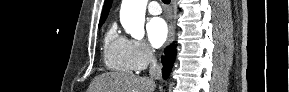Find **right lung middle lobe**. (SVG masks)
Returning a JSON list of instances; mask_svg holds the SVG:
<instances>
[{"instance_id": "obj_1", "label": "right lung middle lobe", "mask_w": 289, "mask_h": 92, "mask_svg": "<svg viewBox=\"0 0 289 92\" xmlns=\"http://www.w3.org/2000/svg\"><path fill=\"white\" fill-rule=\"evenodd\" d=\"M101 25H102V23H101V24H99V27H101Z\"/></svg>"}]
</instances>
